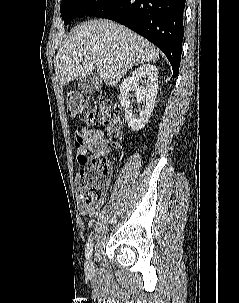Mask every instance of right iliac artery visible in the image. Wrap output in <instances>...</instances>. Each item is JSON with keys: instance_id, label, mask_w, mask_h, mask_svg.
<instances>
[{"instance_id": "obj_1", "label": "right iliac artery", "mask_w": 239, "mask_h": 303, "mask_svg": "<svg viewBox=\"0 0 239 303\" xmlns=\"http://www.w3.org/2000/svg\"><path fill=\"white\" fill-rule=\"evenodd\" d=\"M85 251H86V254H85L86 258L90 259V257L92 256V251H93V238L90 237L88 239Z\"/></svg>"}]
</instances>
